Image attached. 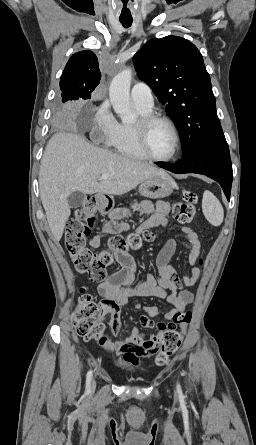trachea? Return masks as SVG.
I'll list each match as a JSON object with an SVG mask.
<instances>
[{
  "label": "trachea",
  "mask_w": 256,
  "mask_h": 445,
  "mask_svg": "<svg viewBox=\"0 0 256 445\" xmlns=\"http://www.w3.org/2000/svg\"><path fill=\"white\" fill-rule=\"evenodd\" d=\"M120 22L124 28H129L132 24V20H120Z\"/></svg>",
  "instance_id": "trachea-1"
}]
</instances>
